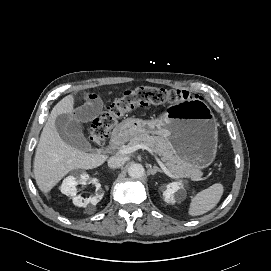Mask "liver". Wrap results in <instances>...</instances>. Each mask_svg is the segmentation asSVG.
I'll return each mask as SVG.
<instances>
[{"label":"liver","instance_id":"liver-1","mask_svg":"<svg viewBox=\"0 0 271 271\" xmlns=\"http://www.w3.org/2000/svg\"><path fill=\"white\" fill-rule=\"evenodd\" d=\"M74 97L68 95L52 109L42 130L34 158V176L39 189L48 193L65 175L75 169H94L101 166L106 155L73 149L54 128L60 113L73 114Z\"/></svg>","mask_w":271,"mask_h":271}]
</instances>
